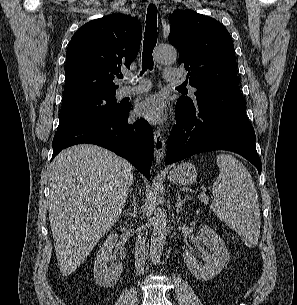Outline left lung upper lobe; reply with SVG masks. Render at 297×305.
Wrapping results in <instances>:
<instances>
[{"label": "left lung upper lobe", "mask_w": 297, "mask_h": 305, "mask_svg": "<svg viewBox=\"0 0 297 305\" xmlns=\"http://www.w3.org/2000/svg\"><path fill=\"white\" fill-rule=\"evenodd\" d=\"M169 19V42L179 52V65L184 64L188 70V83L197 88L196 100L181 96L178 101L193 105L218 91L239 85L234 45L219 21L191 10L174 11Z\"/></svg>", "instance_id": "5c2ea615"}]
</instances>
